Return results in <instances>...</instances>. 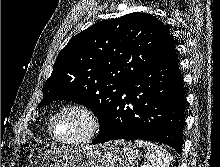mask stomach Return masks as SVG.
Wrapping results in <instances>:
<instances>
[{"label": "stomach", "instance_id": "obj_1", "mask_svg": "<svg viewBox=\"0 0 220 167\" xmlns=\"http://www.w3.org/2000/svg\"><path fill=\"white\" fill-rule=\"evenodd\" d=\"M139 158L137 147L124 140L56 150L36 146L29 155L31 167H137Z\"/></svg>", "mask_w": 220, "mask_h": 167}]
</instances>
